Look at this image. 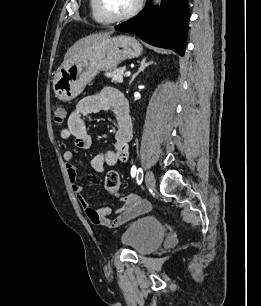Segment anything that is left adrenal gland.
Instances as JSON below:
<instances>
[{
  "mask_svg": "<svg viewBox=\"0 0 261 306\" xmlns=\"http://www.w3.org/2000/svg\"><path fill=\"white\" fill-rule=\"evenodd\" d=\"M153 63V61L151 62H146V58H144L141 63H140V68L138 69V71L132 76L129 85L132 84V82L134 81V79L139 75L140 72L144 71V69L146 67H148L149 65H151Z\"/></svg>",
  "mask_w": 261,
  "mask_h": 306,
  "instance_id": "a2214340",
  "label": "left adrenal gland"
}]
</instances>
